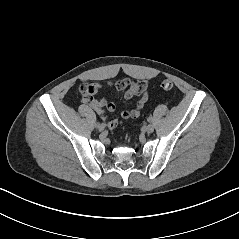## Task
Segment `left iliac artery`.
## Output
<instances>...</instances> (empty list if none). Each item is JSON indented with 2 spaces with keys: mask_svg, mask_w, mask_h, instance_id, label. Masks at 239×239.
Masks as SVG:
<instances>
[{
  "mask_svg": "<svg viewBox=\"0 0 239 239\" xmlns=\"http://www.w3.org/2000/svg\"><path fill=\"white\" fill-rule=\"evenodd\" d=\"M149 122H151L152 121V118L151 117H148V119H147Z\"/></svg>",
  "mask_w": 239,
  "mask_h": 239,
  "instance_id": "left-iliac-artery-1",
  "label": "left iliac artery"
}]
</instances>
